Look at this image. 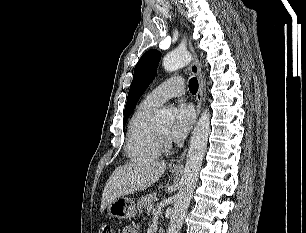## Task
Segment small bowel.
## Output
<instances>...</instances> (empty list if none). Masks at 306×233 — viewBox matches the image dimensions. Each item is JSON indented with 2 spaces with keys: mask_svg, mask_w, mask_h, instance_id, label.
Returning a JSON list of instances; mask_svg holds the SVG:
<instances>
[{
  "mask_svg": "<svg viewBox=\"0 0 306 233\" xmlns=\"http://www.w3.org/2000/svg\"><path fill=\"white\" fill-rule=\"evenodd\" d=\"M123 233H137V231L134 227H126Z\"/></svg>",
  "mask_w": 306,
  "mask_h": 233,
  "instance_id": "obj_1",
  "label": "small bowel"
}]
</instances>
